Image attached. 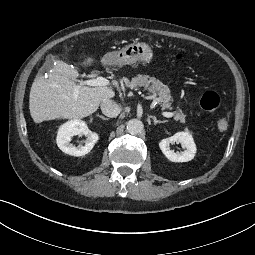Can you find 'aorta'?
I'll return each instance as SVG.
<instances>
[{"label": "aorta", "instance_id": "762f6f07", "mask_svg": "<svg viewBox=\"0 0 255 255\" xmlns=\"http://www.w3.org/2000/svg\"><path fill=\"white\" fill-rule=\"evenodd\" d=\"M144 125L139 119H131L127 122V131L132 135H137L143 131Z\"/></svg>", "mask_w": 255, "mask_h": 255}]
</instances>
